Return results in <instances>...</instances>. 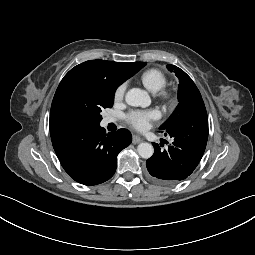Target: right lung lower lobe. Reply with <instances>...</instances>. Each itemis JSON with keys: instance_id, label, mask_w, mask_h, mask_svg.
Returning a JSON list of instances; mask_svg holds the SVG:
<instances>
[{"instance_id": "right-lung-lower-lobe-1", "label": "right lung lower lobe", "mask_w": 255, "mask_h": 255, "mask_svg": "<svg viewBox=\"0 0 255 255\" xmlns=\"http://www.w3.org/2000/svg\"><path fill=\"white\" fill-rule=\"evenodd\" d=\"M50 134L64 170L88 186L110 179L116 171L118 153L132 142L128 130L106 134L100 125H59L50 128Z\"/></svg>"}]
</instances>
